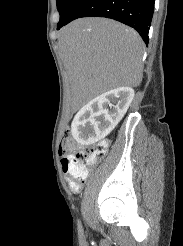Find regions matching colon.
<instances>
[{
	"label": "colon",
	"instance_id": "5ec220e1",
	"mask_svg": "<svg viewBox=\"0 0 183 246\" xmlns=\"http://www.w3.org/2000/svg\"><path fill=\"white\" fill-rule=\"evenodd\" d=\"M106 141L98 142L82 150H76L69 129H64L59 145L62 169L70 177L73 189H78L87 175L88 166L102 159L107 151Z\"/></svg>",
	"mask_w": 183,
	"mask_h": 246
}]
</instances>
